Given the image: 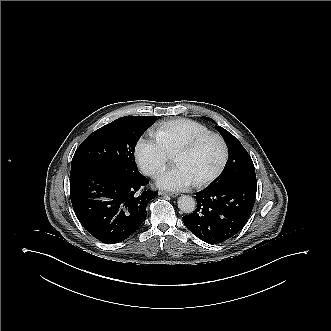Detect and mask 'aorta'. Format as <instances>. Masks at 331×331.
<instances>
[{"mask_svg": "<svg viewBox=\"0 0 331 331\" xmlns=\"http://www.w3.org/2000/svg\"><path fill=\"white\" fill-rule=\"evenodd\" d=\"M178 208L186 214H191L196 209V201L193 197L189 195H181L178 198Z\"/></svg>", "mask_w": 331, "mask_h": 331, "instance_id": "1", "label": "aorta"}]
</instances>
